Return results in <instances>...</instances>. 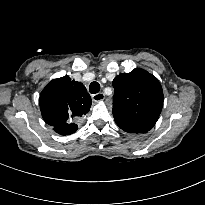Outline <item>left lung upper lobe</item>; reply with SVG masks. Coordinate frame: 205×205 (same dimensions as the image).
Here are the masks:
<instances>
[{
    "mask_svg": "<svg viewBox=\"0 0 205 205\" xmlns=\"http://www.w3.org/2000/svg\"><path fill=\"white\" fill-rule=\"evenodd\" d=\"M112 85L113 116L125 132L147 133L157 122L163 107V91L158 79L136 68L115 77Z\"/></svg>",
    "mask_w": 205,
    "mask_h": 205,
    "instance_id": "obj_1",
    "label": "left lung upper lobe"
}]
</instances>
